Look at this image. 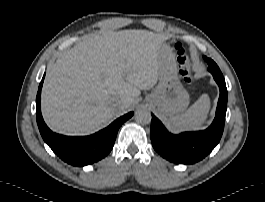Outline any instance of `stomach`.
<instances>
[{
    "instance_id": "1",
    "label": "stomach",
    "mask_w": 265,
    "mask_h": 202,
    "mask_svg": "<svg viewBox=\"0 0 265 202\" xmlns=\"http://www.w3.org/2000/svg\"><path fill=\"white\" fill-rule=\"evenodd\" d=\"M158 57L161 63L159 83L150 100L161 114L172 116L188 107L189 94L179 81L175 57L168 44L160 45Z\"/></svg>"
}]
</instances>
